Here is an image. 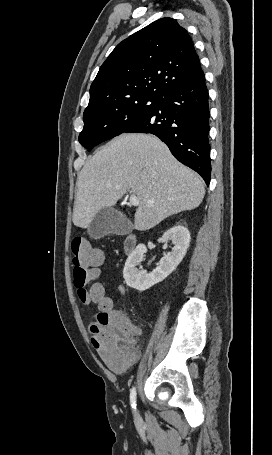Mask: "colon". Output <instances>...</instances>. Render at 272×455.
<instances>
[{"label": "colon", "mask_w": 272, "mask_h": 455, "mask_svg": "<svg viewBox=\"0 0 272 455\" xmlns=\"http://www.w3.org/2000/svg\"><path fill=\"white\" fill-rule=\"evenodd\" d=\"M74 285L84 303L98 304L100 313L90 327L91 342L104 363L116 370L127 366L134 357L132 350L136 328L124 317L111 312V301L101 284L93 282L103 261L101 250L82 237L71 242Z\"/></svg>", "instance_id": "5ec220e1"}]
</instances>
